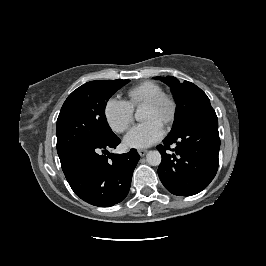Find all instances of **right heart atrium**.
<instances>
[{
	"label": "right heart atrium",
	"instance_id": "obj_1",
	"mask_svg": "<svg viewBox=\"0 0 266 266\" xmlns=\"http://www.w3.org/2000/svg\"><path fill=\"white\" fill-rule=\"evenodd\" d=\"M104 115L113 131L123 133L133 121L134 110L129 102L112 97L106 102Z\"/></svg>",
	"mask_w": 266,
	"mask_h": 266
}]
</instances>
